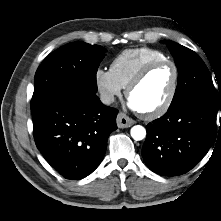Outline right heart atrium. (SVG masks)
<instances>
[{
    "mask_svg": "<svg viewBox=\"0 0 221 221\" xmlns=\"http://www.w3.org/2000/svg\"><path fill=\"white\" fill-rule=\"evenodd\" d=\"M94 82L103 102L112 103L122 93L121 85L116 81L110 70L97 68Z\"/></svg>",
    "mask_w": 221,
    "mask_h": 221,
    "instance_id": "obj_1",
    "label": "right heart atrium"
}]
</instances>
